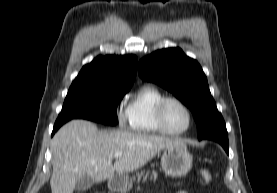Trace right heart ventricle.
Masks as SVG:
<instances>
[{
  "label": "right heart ventricle",
  "mask_w": 277,
  "mask_h": 193,
  "mask_svg": "<svg viewBox=\"0 0 277 193\" xmlns=\"http://www.w3.org/2000/svg\"><path fill=\"white\" fill-rule=\"evenodd\" d=\"M164 97L165 94L154 86L140 88L126 107L130 129L142 134H161L156 121V108Z\"/></svg>",
  "instance_id": "e07e8e85"
}]
</instances>
